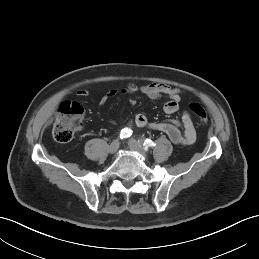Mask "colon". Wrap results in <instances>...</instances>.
Masks as SVG:
<instances>
[{"mask_svg":"<svg viewBox=\"0 0 259 259\" xmlns=\"http://www.w3.org/2000/svg\"><path fill=\"white\" fill-rule=\"evenodd\" d=\"M189 108L201 124L208 123V114L200 104L192 103ZM83 113L82 106L77 102L69 101L62 104L53 126L54 138L61 143L70 141L81 124Z\"/></svg>","mask_w":259,"mask_h":259,"instance_id":"colon-1","label":"colon"}]
</instances>
